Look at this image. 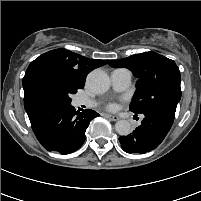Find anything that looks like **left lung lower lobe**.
I'll return each mask as SVG.
<instances>
[{"label":"left lung lower lobe","mask_w":201,"mask_h":201,"mask_svg":"<svg viewBox=\"0 0 201 201\" xmlns=\"http://www.w3.org/2000/svg\"><path fill=\"white\" fill-rule=\"evenodd\" d=\"M144 119L132 134L119 137L122 149L127 153H146L163 141L175 117V111L157 108L144 113Z\"/></svg>","instance_id":"1"}]
</instances>
